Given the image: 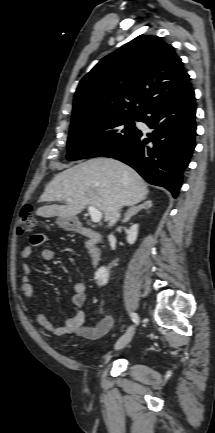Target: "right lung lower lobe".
Returning <instances> with one entry per match:
<instances>
[{
  "label": "right lung lower lobe",
  "mask_w": 215,
  "mask_h": 433,
  "mask_svg": "<svg viewBox=\"0 0 215 433\" xmlns=\"http://www.w3.org/2000/svg\"><path fill=\"white\" fill-rule=\"evenodd\" d=\"M196 103L190 82L154 102L141 121L155 129L139 132L123 146L105 154L134 168L147 182L177 196L182 173L196 146Z\"/></svg>",
  "instance_id": "98d812e1"
}]
</instances>
